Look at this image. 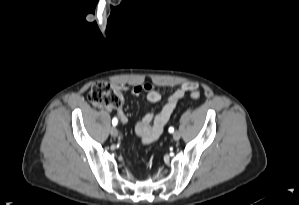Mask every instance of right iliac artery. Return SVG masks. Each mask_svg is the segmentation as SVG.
I'll use <instances>...</instances> for the list:
<instances>
[{"mask_svg":"<svg viewBox=\"0 0 299 205\" xmlns=\"http://www.w3.org/2000/svg\"><path fill=\"white\" fill-rule=\"evenodd\" d=\"M117 123H118V120H117L116 118H113V120H112V124H113V126H116Z\"/></svg>","mask_w":299,"mask_h":205,"instance_id":"obj_1","label":"right iliac artery"}]
</instances>
